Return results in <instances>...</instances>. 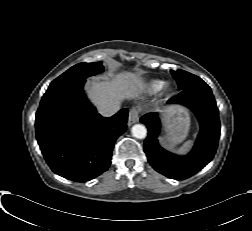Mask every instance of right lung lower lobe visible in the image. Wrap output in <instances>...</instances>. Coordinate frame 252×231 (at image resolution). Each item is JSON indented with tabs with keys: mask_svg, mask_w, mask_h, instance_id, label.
Masks as SVG:
<instances>
[{
	"mask_svg": "<svg viewBox=\"0 0 252 231\" xmlns=\"http://www.w3.org/2000/svg\"><path fill=\"white\" fill-rule=\"evenodd\" d=\"M85 80L50 90L36 113V138L52 171L85 182L106 171L116 139L127 129L128 109L106 118L83 91Z\"/></svg>",
	"mask_w": 252,
	"mask_h": 231,
	"instance_id": "obj_1",
	"label": "right lung lower lobe"
}]
</instances>
